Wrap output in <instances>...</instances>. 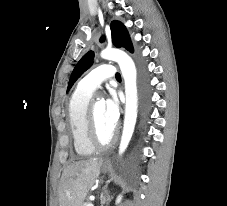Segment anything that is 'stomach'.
Segmentation results:
<instances>
[{
	"label": "stomach",
	"instance_id": "obj_1",
	"mask_svg": "<svg viewBox=\"0 0 227 206\" xmlns=\"http://www.w3.org/2000/svg\"><path fill=\"white\" fill-rule=\"evenodd\" d=\"M101 168H102L103 172H107L108 171V166L105 163H103V162H101Z\"/></svg>",
	"mask_w": 227,
	"mask_h": 206
}]
</instances>
